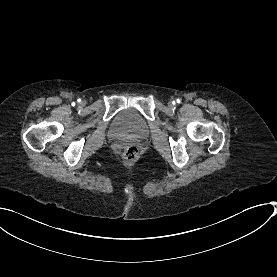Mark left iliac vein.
<instances>
[{
    "mask_svg": "<svg viewBox=\"0 0 277 277\" xmlns=\"http://www.w3.org/2000/svg\"><path fill=\"white\" fill-rule=\"evenodd\" d=\"M172 106H173L172 102H169V107H172Z\"/></svg>",
    "mask_w": 277,
    "mask_h": 277,
    "instance_id": "1",
    "label": "left iliac vein"
}]
</instances>
